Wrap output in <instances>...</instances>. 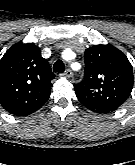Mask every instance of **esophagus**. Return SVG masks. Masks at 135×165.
<instances>
[{"instance_id":"34e87169","label":"esophagus","mask_w":135,"mask_h":165,"mask_svg":"<svg viewBox=\"0 0 135 165\" xmlns=\"http://www.w3.org/2000/svg\"><path fill=\"white\" fill-rule=\"evenodd\" d=\"M63 75L65 76V77H72V75H73V73H72V71H71V69H67V70H65V72L63 73Z\"/></svg>"}]
</instances>
